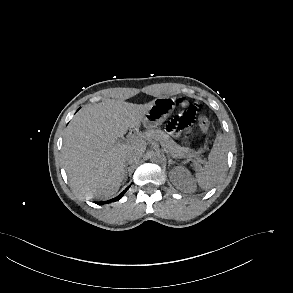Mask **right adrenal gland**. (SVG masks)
Returning a JSON list of instances; mask_svg holds the SVG:
<instances>
[{"instance_id":"1","label":"right adrenal gland","mask_w":293,"mask_h":293,"mask_svg":"<svg viewBox=\"0 0 293 293\" xmlns=\"http://www.w3.org/2000/svg\"><path fill=\"white\" fill-rule=\"evenodd\" d=\"M127 169H128V165L126 164L125 169H124V179H127Z\"/></svg>"}]
</instances>
